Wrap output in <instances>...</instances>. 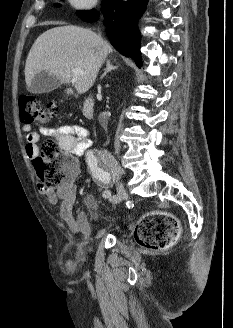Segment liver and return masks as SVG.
<instances>
[{
    "mask_svg": "<svg viewBox=\"0 0 233 328\" xmlns=\"http://www.w3.org/2000/svg\"><path fill=\"white\" fill-rule=\"evenodd\" d=\"M113 49L89 29L67 25L42 33L32 45L25 64V81L30 86L34 76L47 71L65 83H72L80 94L94 84L98 71ZM73 68L83 74L74 75ZM73 93L72 89L66 90Z\"/></svg>",
    "mask_w": 233,
    "mask_h": 328,
    "instance_id": "liver-1",
    "label": "liver"
}]
</instances>
